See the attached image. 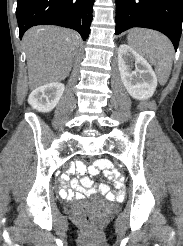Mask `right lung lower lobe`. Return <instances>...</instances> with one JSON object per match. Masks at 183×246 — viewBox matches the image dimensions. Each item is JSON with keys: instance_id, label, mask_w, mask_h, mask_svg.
<instances>
[{"instance_id": "1", "label": "right lung lower lobe", "mask_w": 183, "mask_h": 246, "mask_svg": "<svg viewBox=\"0 0 183 246\" xmlns=\"http://www.w3.org/2000/svg\"><path fill=\"white\" fill-rule=\"evenodd\" d=\"M95 0H18L16 17L19 36L36 25H58L74 29L88 38Z\"/></svg>"}]
</instances>
